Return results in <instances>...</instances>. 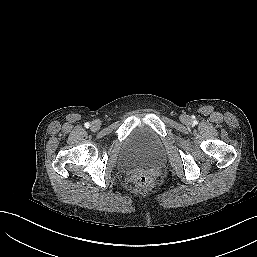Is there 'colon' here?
I'll return each instance as SVG.
<instances>
[{"mask_svg":"<svg viewBox=\"0 0 257 257\" xmlns=\"http://www.w3.org/2000/svg\"><path fill=\"white\" fill-rule=\"evenodd\" d=\"M154 179L150 175H140L136 179L138 189H149L153 186Z\"/></svg>","mask_w":257,"mask_h":257,"instance_id":"obj_1","label":"colon"}]
</instances>
